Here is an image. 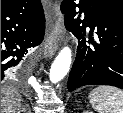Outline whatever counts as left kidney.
<instances>
[{"label": "left kidney", "mask_w": 123, "mask_h": 113, "mask_svg": "<svg viewBox=\"0 0 123 113\" xmlns=\"http://www.w3.org/2000/svg\"><path fill=\"white\" fill-rule=\"evenodd\" d=\"M83 113H89L88 111H84Z\"/></svg>", "instance_id": "obj_1"}]
</instances>
